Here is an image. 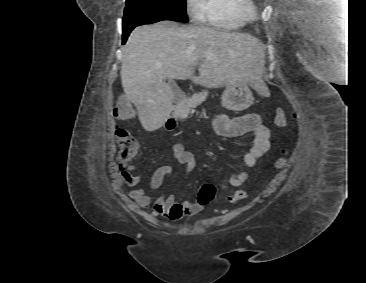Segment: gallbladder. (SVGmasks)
<instances>
[{"label": "gallbladder", "mask_w": 366, "mask_h": 283, "mask_svg": "<svg viewBox=\"0 0 366 283\" xmlns=\"http://www.w3.org/2000/svg\"><path fill=\"white\" fill-rule=\"evenodd\" d=\"M170 86H171L175 101H178L180 99V94H181L180 89L178 87H176V85L173 82H170Z\"/></svg>", "instance_id": "bac80fb5"}]
</instances>
